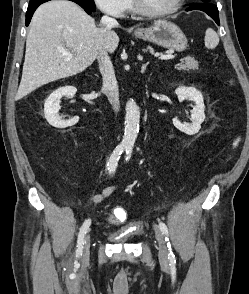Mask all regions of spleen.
<instances>
[{
    "mask_svg": "<svg viewBox=\"0 0 249 294\" xmlns=\"http://www.w3.org/2000/svg\"><path fill=\"white\" fill-rule=\"evenodd\" d=\"M218 43L219 36L213 29L208 28L205 32V46L207 48L213 49L218 45Z\"/></svg>",
    "mask_w": 249,
    "mask_h": 294,
    "instance_id": "3e777b00",
    "label": "spleen"
}]
</instances>
